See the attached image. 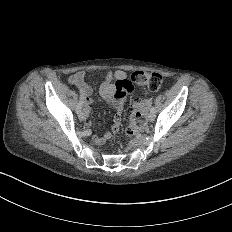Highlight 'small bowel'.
<instances>
[{
    "label": "small bowel",
    "instance_id": "c3829d8e",
    "mask_svg": "<svg viewBox=\"0 0 232 232\" xmlns=\"http://www.w3.org/2000/svg\"><path fill=\"white\" fill-rule=\"evenodd\" d=\"M101 84L100 95L103 99L113 102L115 105L116 113L112 125V131L118 132L121 126V115L125 105L126 93L131 90V82L128 79L127 72L124 69H118L115 78L109 70H100ZM86 70H74L68 79V82L73 85H79L83 96V108L81 111V119L85 120L91 113L92 105L94 104V88L84 82ZM111 138L110 133H105L103 136L96 137L95 143L98 145L104 144Z\"/></svg>",
    "mask_w": 232,
    "mask_h": 232
}]
</instances>
